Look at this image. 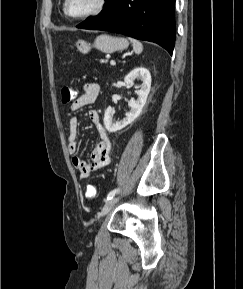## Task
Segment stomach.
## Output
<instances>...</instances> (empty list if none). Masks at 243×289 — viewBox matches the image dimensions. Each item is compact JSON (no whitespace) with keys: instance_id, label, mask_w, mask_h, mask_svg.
<instances>
[{"instance_id":"obj_1","label":"stomach","mask_w":243,"mask_h":289,"mask_svg":"<svg viewBox=\"0 0 243 289\" xmlns=\"http://www.w3.org/2000/svg\"><path fill=\"white\" fill-rule=\"evenodd\" d=\"M128 45L129 43L126 39L113 37L107 34L97 36L93 45L84 40H78L76 42L78 50L82 53L89 52L92 47H95L104 53H113L115 51L127 48Z\"/></svg>"}]
</instances>
